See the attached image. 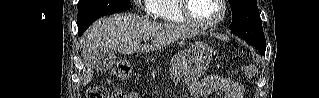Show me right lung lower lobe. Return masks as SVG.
Returning a JSON list of instances; mask_svg holds the SVG:
<instances>
[{
    "instance_id": "right-lung-lower-lobe-1",
    "label": "right lung lower lobe",
    "mask_w": 319,
    "mask_h": 98,
    "mask_svg": "<svg viewBox=\"0 0 319 98\" xmlns=\"http://www.w3.org/2000/svg\"><path fill=\"white\" fill-rule=\"evenodd\" d=\"M101 17V16H100ZM100 17H94V18H90V19H87L83 22H80L78 23V35L81 36L84 31L95 21L97 20L98 18Z\"/></svg>"
}]
</instances>
